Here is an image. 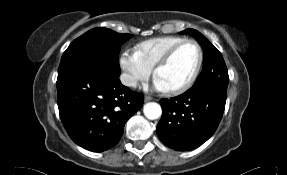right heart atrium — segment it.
I'll return each mask as SVG.
<instances>
[{"label": "right heart atrium", "instance_id": "right-heart-atrium-1", "mask_svg": "<svg viewBox=\"0 0 287 175\" xmlns=\"http://www.w3.org/2000/svg\"><path fill=\"white\" fill-rule=\"evenodd\" d=\"M119 65L123 71L122 82L128 87H137L152 74V69L141 60L136 52L130 50H124L121 53Z\"/></svg>", "mask_w": 287, "mask_h": 175}]
</instances>
